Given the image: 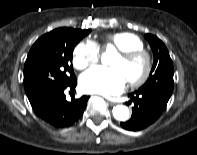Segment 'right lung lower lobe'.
Here are the masks:
<instances>
[{
	"label": "right lung lower lobe",
	"instance_id": "right-lung-lower-lobe-1",
	"mask_svg": "<svg viewBox=\"0 0 197 155\" xmlns=\"http://www.w3.org/2000/svg\"><path fill=\"white\" fill-rule=\"evenodd\" d=\"M76 84V78H74L65 87L42 95L31 103L34 112L54 127L71 126L80 118L89 99V96H82L79 99H72L71 102L66 101L64 90L66 88L74 90Z\"/></svg>",
	"mask_w": 197,
	"mask_h": 155
}]
</instances>
